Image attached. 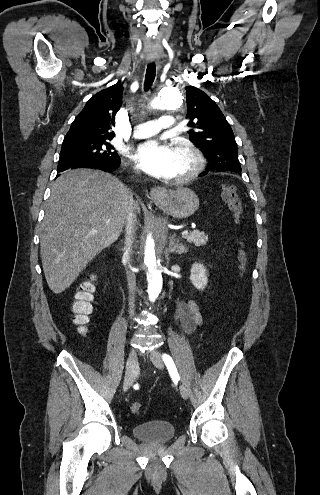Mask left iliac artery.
I'll return each instance as SVG.
<instances>
[{
	"label": "left iliac artery",
	"instance_id": "1",
	"mask_svg": "<svg viewBox=\"0 0 320 495\" xmlns=\"http://www.w3.org/2000/svg\"><path fill=\"white\" fill-rule=\"evenodd\" d=\"M162 358H163L165 365L167 366V369H168L171 377L175 380H179L180 377H179L176 366H175L174 361L171 358V356L168 354H163Z\"/></svg>",
	"mask_w": 320,
	"mask_h": 495
}]
</instances>
